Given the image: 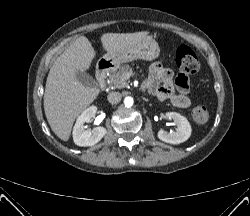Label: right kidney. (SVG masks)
<instances>
[{
  "label": "right kidney",
  "mask_w": 250,
  "mask_h": 216,
  "mask_svg": "<svg viewBox=\"0 0 250 216\" xmlns=\"http://www.w3.org/2000/svg\"><path fill=\"white\" fill-rule=\"evenodd\" d=\"M97 111L96 106L84 110L73 127V141L78 146H92L98 143L107 133L104 127H96L92 131L85 129V123L91 122Z\"/></svg>",
  "instance_id": "right-kidney-1"
}]
</instances>
